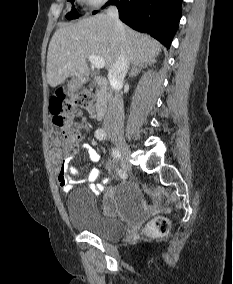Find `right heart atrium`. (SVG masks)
Wrapping results in <instances>:
<instances>
[{"label": "right heart atrium", "mask_w": 233, "mask_h": 284, "mask_svg": "<svg viewBox=\"0 0 233 284\" xmlns=\"http://www.w3.org/2000/svg\"><path fill=\"white\" fill-rule=\"evenodd\" d=\"M86 5L91 8H97L103 5L107 0H83Z\"/></svg>", "instance_id": "obj_1"}]
</instances>
